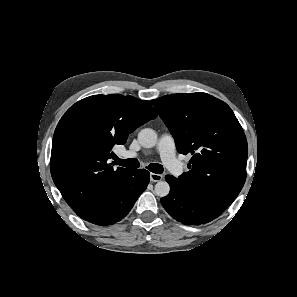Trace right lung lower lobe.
Wrapping results in <instances>:
<instances>
[{
	"label": "right lung lower lobe",
	"instance_id": "obj_1",
	"mask_svg": "<svg viewBox=\"0 0 297 297\" xmlns=\"http://www.w3.org/2000/svg\"><path fill=\"white\" fill-rule=\"evenodd\" d=\"M149 180L150 175L147 170H132L94 213L84 220L97 225H110L118 222L129 213L137 198L146 189Z\"/></svg>",
	"mask_w": 297,
	"mask_h": 297
}]
</instances>
